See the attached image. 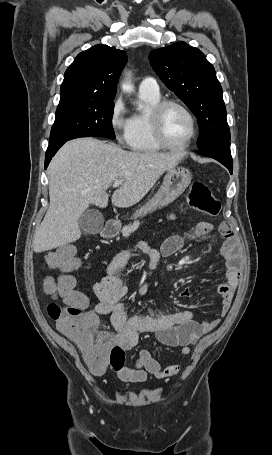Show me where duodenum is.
Masks as SVG:
<instances>
[{"instance_id":"duodenum-1","label":"duodenum","mask_w":272,"mask_h":455,"mask_svg":"<svg viewBox=\"0 0 272 455\" xmlns=\"http://www.w3.org/2000/svg\"><path fill=\"white\" fill-rule=\"evenodd\" d=\"M115 224L113 222L106 223L100 231V235L103 238L112 237L115 233Z\"/></svg>"}]
</instances>
